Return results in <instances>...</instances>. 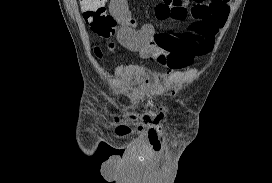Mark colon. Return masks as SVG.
<instances>
[{
    "label": "colon",
    "instance_id": "5ec220e1",
    "mask_svg": "<svg viewBox=\"0 0 272 183\" xmlns=\"http://www.w3.org/2000/svg\"><path fill=\"white\" fill-rule=\"evenodd\" d=\"M85 21L90 24L91 29L102 37H110L114 35L119 26L121 19L116 13H108L105 9V0H79ZM112 7L117 13L124 14L126 12V0H112ZM159 59L166 63L168 62L164 57Z\"/></svg>",
    "mask_w": 272,
    "mask_h": 183
}]
</instances>
